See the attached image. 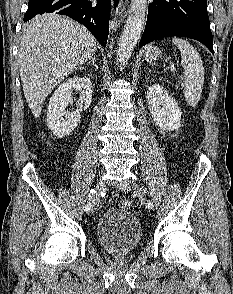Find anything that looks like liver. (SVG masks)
Instances as JSON below:
<instances>
[{"label":"liver","instance_id":"1","mask_svg":"<svg viewBox=\"0 0 233 294\" xmlns=\"http://www.w3.org/2000/svg\"><path fill=\"white\" fill-rule=\"evenodd\" d=\"M96 39L79 23L42 14L28 25L18 54L21 83L28 106L38 118L45 98L72 71L91 60Z\"/></svg>","mask_w":233,"mask_h":294}]
</instances>
